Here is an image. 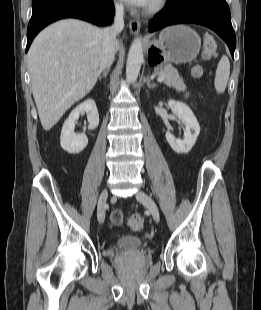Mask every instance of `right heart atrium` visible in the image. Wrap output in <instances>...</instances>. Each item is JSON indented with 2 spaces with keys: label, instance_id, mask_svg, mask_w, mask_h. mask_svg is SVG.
I'll use <instances>...</instances> for the list:
<instances>
[{
  "label": "right heart atrium",
  "instance_id": "obj_1",
  "mask_svg": "<svg viewBox=\"0 0 261 310\" xmlns=\"http://www.w3.org/2000/svg\"><path fill=\"white\" fill-rule=\"evenodd\" d=\"M114 8H115L116 12H118V13L123 12V5L118 0L114 1Z\"/></svg>",
  "mask_w": 261,
  "mask_h": 310
}]
</instances>
